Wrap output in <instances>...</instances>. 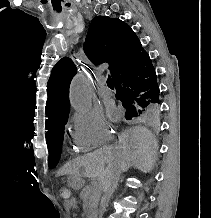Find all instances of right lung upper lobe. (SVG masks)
<instances>
[{"label":"right lung upper lobe","instance_id":"obj_1","mask_svg":"<svg viewBox=\"0 0 211 218\" xmlns=\"http://www.w3.org/2000/svg\"><path fill=\"white\" fill-rule=\"evenodd\" d=\"M84 51L94 64L109 63L114 77L120 67L135 60L143 51L134 31L123 21L105 16L93 18L88 30ZM76 67L68 57L53 67L47 83L46 135L62 117L69 113V85Z\"/></svg>","mask_w":211,"mask_h":218}]
</instances>
